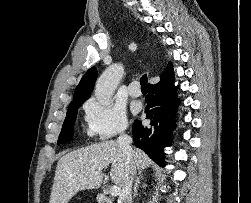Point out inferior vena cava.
Listing matches in <instances>:
<instances>
[{
    "label": "inferior vena cava",
    "instance_id": "602c4592",
    "mask_svg": "<svg viewBox=\"0 0 251 203\" xmlns=\"http://www.w3.org/2000/svg\"><path fill=\"white\" fill-rule=\"evenodd\" d=\"M127 126H124L121 130L119 137L117 138V144L122 151L126 159L127 173L125 175L123 187L119 195V203H132V183L136 174V168L133 166V149L131 148L132 139L130 136L124 133Z\"/></svg>",
    "mask_w": 251,
    "mask_h": 203
}]
</instances>
